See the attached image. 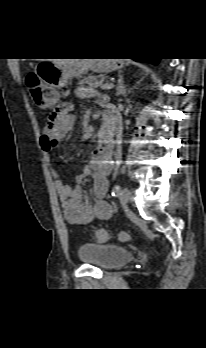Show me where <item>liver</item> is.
<instances>
[{"mask_svg": "<svg viewBox=\"0 0 206 348\" xmlns=\"http://www.w3.org/2000/svg\"><path fill=\"white\" fill-rule=\"evenodd\" d=\"M69 60H72V59H63V60H58L57 62H67Z\"/></svg>", "mask_w": 206, "mask_h": 348, "instance_id": "6515ba94", "label": "liver"}]
</instances>
